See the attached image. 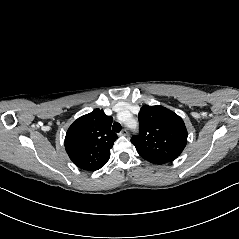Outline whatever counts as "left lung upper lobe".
Returning a JSON list of instances; mask_svg holds the SVG:
<instances>
[{
	"instance_id": "5c2ea615",
	"label": "left lung upper lobe",
	"mask_w": 239,
	"mask_h": 239,
	"mask_svg": "<svg viewBox=\"0 0 239 239\" xmlns=\"http://www.w3.org/2000/svg\"><path fill=\"white\" fill-rule=\"evenodd\" d=\"M186 140L180 117L165 108L146 106L139 113V134L131 142L146 160L165 163L180 155Z\"/></svg>"
}]
</instances>
